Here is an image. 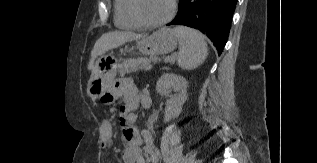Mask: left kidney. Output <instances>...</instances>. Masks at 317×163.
I'll return each instance as SVG.
<instances>
[{"label":"left kidney","mask_w":317,"mask_h":163,"mask_svg":"<svg viewBox=\"0 0 317 163\" xmlns=\"http://www.w3.org/2000/svg\"><path fill=\"white\" fill-rule=\"evenodd\" d=\"M187 81L184 77L175 73H165L157 81L156 90L164 97H168L164 113V122L179 116L182 106L187 99ZM175 94L171 95V91Z\"/></svg>","instance_id":"obj_1"}]
</instances>
